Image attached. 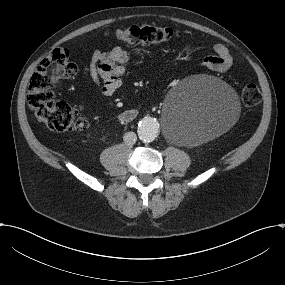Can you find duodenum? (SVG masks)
Returning a JSON list of instances; mask_svg holds the SVG:
<instances>
[{"instance_id": "410a0bca", "label": "duodenum", "mask_w": 285, "mask_h": 285, "mask_svg": "<svg viewBox=\"0 0 285 285\" xmlns=\"http://www.w3.org/2000/svg\"><path fill=\"white\" fill-rule=\"evenodd\" d=\"M137 117V111L135 109H127L119 114V119L123 123H129Z\"/></svg>"}]
</instances>
